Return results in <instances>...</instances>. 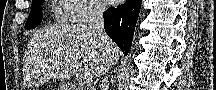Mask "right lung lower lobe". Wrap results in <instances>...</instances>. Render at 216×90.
<instances>
[{"label":"right lung lower lobe","instance_id":"98d812e1","mask_svg":"<svg viewBox=\"0 0 216 90\" xmlns=\"http://www.w3.org/2000/svg\"><path fill=\"white\" fill-rule=\"evenodd\" d=\"M141 0H127L117 8H109L104 12L106 33L116 42L126 56L140 13Z\"/></svg>","mask_w":216,"mask_h":90}]
</instances>
